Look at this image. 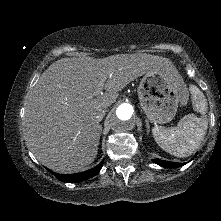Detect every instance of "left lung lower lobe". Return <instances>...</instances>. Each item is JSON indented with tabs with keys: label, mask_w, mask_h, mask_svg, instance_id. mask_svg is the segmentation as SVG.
<instances>
[{
	"label": "left lung lower lobe",
	"mask_w": 221,
	"mask_h": 221,
	"mask_svg": "<svg viewBox=\"0 0 221 221\" xmlns=\"http://www.w3.org/2000/svg\"><path fill=\"white\" fill-rule=\"evenodd\" d=\"M152 161L154 163H156L162 167H166V168H178V167H181L186 164V163H175V162L163 161L160 159H153Z\"/></svg>",
	"instance_id": "obj_1"
}]
</instances>
